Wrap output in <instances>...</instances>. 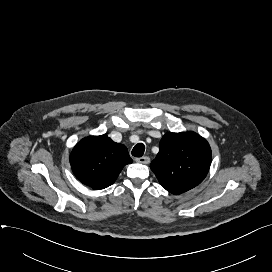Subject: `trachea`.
I'll return each instance as SVG.
<instances>
[{
	"instance_id": "obj_1",
	"label": "trachea",
	"mask_w": 272,
	"mask_h": 272,
	"mask_svg": "<svg viewBox=\"0 0 272 272\" xmlns=\"http://www.w3.org/2000/svg\"><path fill=\"white\" fill-rule=\"evenodd\" d=\"M145 151V146L143 143H138L132 149V155L134 157H142Z\"/></svg>"
}]
</instances>
